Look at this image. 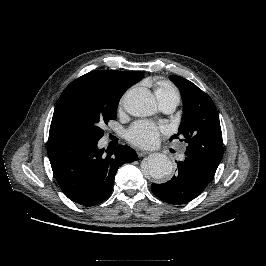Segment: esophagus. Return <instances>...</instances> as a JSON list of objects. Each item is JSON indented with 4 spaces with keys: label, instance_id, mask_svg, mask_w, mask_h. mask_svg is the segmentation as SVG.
<instances>
[{
    "label": "esophagus",
    "instance_id": "obj_1",
    "mask_svg": "<svg viewBox=\"0 0 266 266\" xmlns=\"http://www.w3.org/2000/svg\"><path fill=\"white\" fill-rule=\"evenodd\" d=\"M136 152H137L138 157H144L149 154L148 151L141 150V149H137Z\"/></svg>",
    "mask_w": 266,
    "mask_h": 266
}]
</instances>
